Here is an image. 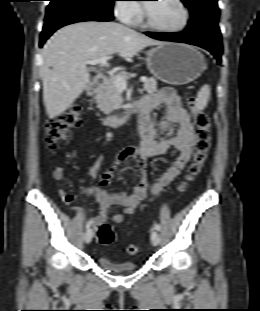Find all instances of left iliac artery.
I'll list each match as a JSON object with an SVG mask.
<instances>
[{"instance_id":"1","label":"left iliac artery","mask_w":260,"mask_h":311,"mask_svg":"<svg viewBox=\"0 0 260 311\" xmlns=\"http://www.w3.org/2000/svg\"><path fill=\"white\" fill-rule=\"evenodd\" d=\"M154 227L157 231L161 230V226L158 223H155Z\"/></svg>"}]
</instances>
